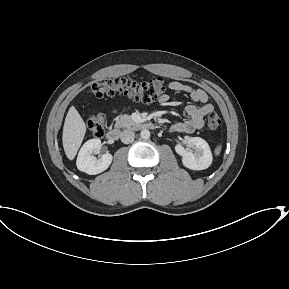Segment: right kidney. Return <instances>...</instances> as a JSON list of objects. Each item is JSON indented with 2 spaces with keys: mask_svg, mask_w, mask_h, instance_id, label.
Instances as JSON below:
<instances>
[{
  "mask_svg": "<svg viewBox=\"0 0 289 289\" xmlns=\"http://www.w3.org/2000/svg\"><path fill=\"white\" fill-rule=\"evenodd\" d=\"M101 147L100 139H90L85 142L78 153L76 161L78 170L89 175H96L105 171L110 166L113 157L111 154L106 153L97 159L93 154Z\"/></svg>",
  "mask_w": 289,
  "mask_h": 289,
  "instance_id": "right-kidney-1",
  "label": "right kidney"
}]
</instances>
